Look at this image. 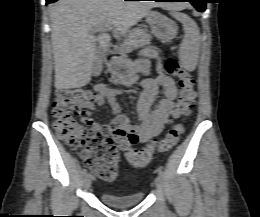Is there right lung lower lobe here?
Listing matches in <instances>:
<instances>
[{"mask_svg": "<svg viewBox=\"0 0 260 217\" xmlns=\"http://www.w3.org/2000/svg\"><path fill=\"white\" fill-rule=\"evenodd\" d=\"M55 1H57V0H46V4L54 3ZM126 1H131V0H126Z\"/></svg>", "mask_w": 260, "mask_h": 217, "instance_id": "98d812e1", "label": "right lung lower lobe"}]
</instances>
